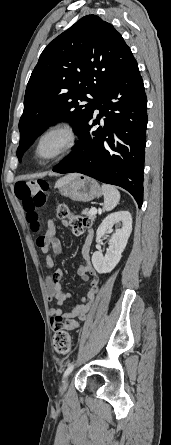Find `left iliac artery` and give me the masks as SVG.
Instances as JSON below:
<instances>
[{
  "mask_svg": "<svg viewBox=\"0 0 171 445\" xmlns=\"http://www.w3.org/2000/svg\"><path fill=\"white\" fill-rule=\"evenodd\" d=\"M73 368H74V364H73V363H72V364H69L68 368L66 369V371H65V373H64V377H65L66 375H68V374L73 370Z\"/></svg>",
  "mask_w": 171,
  "mask_h": 445,
  "instance_id": "obj_1",
  "label": "left iliac artery"
}]
</instances>
